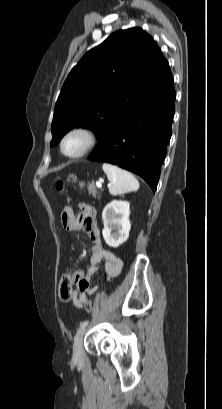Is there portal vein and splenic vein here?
Segmentation results:
<instances>
[{"label": "portal vein and splenic vein", "instance_id": "18ae733b", "mask_svg": "<svg viewBox=\"0 0 222 409\" xmlns=\"http://www.w3.org/2000/svg\"><path fill=\"white\" fill-rule=\"evenodd\" d=\"M96 186H97L98 188H101V187H102V183H101L100 181H97V182H96Z\"/></svg>", "mask_w": 222, "mask_h": 409}]
</instances>
